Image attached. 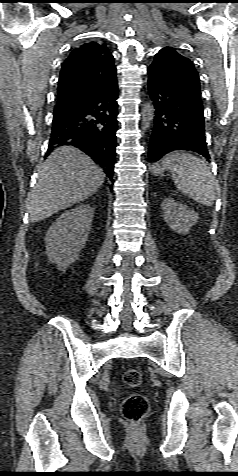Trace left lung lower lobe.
Instances as JSON below:
<instances>
[{"label": "left lung lower lobe", "mask_w": 238, "mask_h": 476, "mask_svg": "<svg viewBox=\"0 0 238 476\" xmlns=\"http://www.w3.org/2000/svg\"><path fill=\"white\" fill-rule=\"evenodd\" d=\"M148 74V90L155 107L148 162L177 150L194 151L210 159L201 99L179 91L150 69Z\"/></svg>", "instance_id": "0a47b994"}]
</instances>
